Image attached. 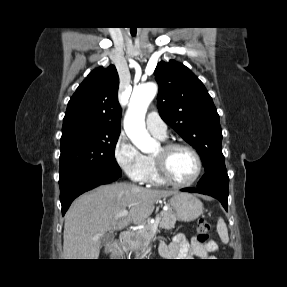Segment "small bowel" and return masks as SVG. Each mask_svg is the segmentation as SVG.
<instances>
[{
    "instance_id": "c3829d8e",
    "label": "small bowel",
    "mask_w": 287,
    "mask_h": 287,
    "mask_svg": "<svg viewBox=\"0 0 287 287\" xmlns=\"http://www.w3.org/2000/svg\"><path fill=\"white\" fill-rule=\"evenodd\" d=\"M217 248V243L213 240L201 244L196 237L189 241L184 235L177 234L169 244L161 242L159 253L166 259L207 258L209 253L216 251Z\"/></svg>"
}]
</instances>
